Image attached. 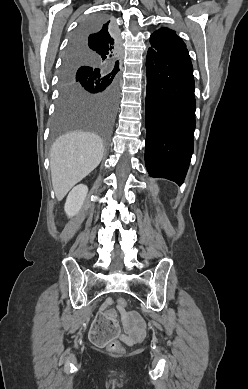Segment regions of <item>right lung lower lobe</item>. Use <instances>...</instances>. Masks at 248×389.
<instances>
[{"instance_id":"1","label":"right lung lower lobe","mask_w":248,"mask_h":389,"mask_svg":"<svg viewBox=\"0 0 248 389\" xmlns=\"http://www.w3.org/2000/svg\"><path fill=\"white\" fill-rule=\"evenodd\" d=\"M110 25H111V31H112V33H113L114 38H115L117 41H119L118 36H117V33L114 31L113 25H112L111 23H110ZM80 40H81V39H77L76 42H75L74 44H70V45H69V48H68V51H69V52H72V53H74L75 51H77V50H76V46H78V42H79Z\"/></svg>"}]
</instances>
